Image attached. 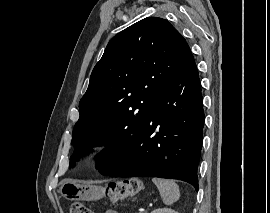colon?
Returning a JSON list of instances; mask_svg holds the SVG:
<instances>
[{
  "label": "colon",
  "mask_w": 270,
  "mask_h": 213,
  "mask_svg": "<svg viewBox=\"0 0 270 213\" xmlns=\"http://www.w3.org/2000/svg\"><path fill=\"white\" fill-rule=\"evenodd\" d=\"M141 189V183L137 179H127L110 183L106 189L107 197L116 202L120 199L136 195ZM70 213H92L84 204L74 203Z\"/></svg>",
  "instance_id": "1"
}]
</instances>
